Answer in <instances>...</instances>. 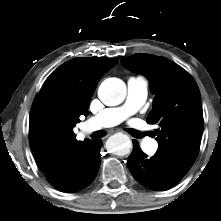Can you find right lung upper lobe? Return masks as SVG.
Returning a JSON list of instances; mask_svg holds the SVG:
<instances>
[{
  "label": "right lung upper lobe",
  "mask_w": 221,
  "mask_h": 221,
  "mask_svg": "<svg viewBox=\"0 0 221 221\" xmlns=\"http://www.w3.org/2000/svg\"><path fill=\"white\" fill-rule=\"evenodd\" d=\"M116 58L78 57L58 67L44 82L30 111L29 143L49 182L63 178L92 141H77L73 127L88 106L100 78Z\"/></svg>",
  "instance_id": "1"
}]
</instances>
